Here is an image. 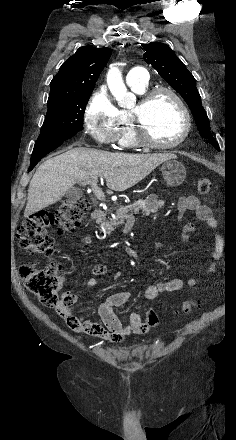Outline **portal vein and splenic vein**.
Here are the masks:
<instances>
[{"mask_svg":"<svg viewBox=\"0 0 236 440\" xmlns=\"http://www.w3.org/2000/svg\"><path fill=\"white\" fill-rule=\"evenodd\" d=\"M90 183L92 186V190L95 194V196L97 197L98 200L100 201H105V195L103 194L102 190L97 186V179H93L87 182H83V185Z\"/></svg>","mask_w":236,"mask_h":440,"instance_id":"obj_1","label":"portal vein and splenic vein"}]
</instances>
